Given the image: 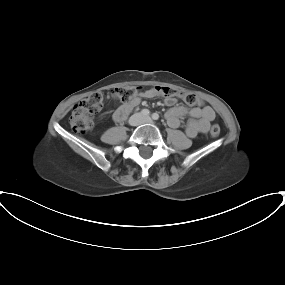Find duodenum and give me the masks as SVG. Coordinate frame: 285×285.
Wrapping results in <instances>:
<instances>
[{
	"mask_svg": "<svg viewBox=\"0 0 285 285\" xmlns=\"http://www.w3.org/2000/svg\"><path fill=\"white\" fill-rule=\"evenodd\" d=\"M132 105L130 103L126 104L120 111L118 112L119 120H122L127 113L130 112Z\"/></svg>",
	"mask_w": 285,
	"mask_h": 285,
	"instance_id": "410a0bca",
	"label": "duodenum"
}]
</instances>
